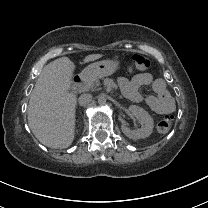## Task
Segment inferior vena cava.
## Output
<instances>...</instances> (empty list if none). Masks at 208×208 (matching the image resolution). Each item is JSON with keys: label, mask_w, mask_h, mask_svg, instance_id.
Segmentation results:
<instances>
[{"label": "inferior vena cava", "mask_w": 208, "mask_h": 208, "mask_svg": "<svg viewBox=\"0 0 208 208\" xmlns=\"http://www.w3.org/2000/svg\"><path fill=\"white\" fill-rule=\"evenodd\" d=\"M93 104L92 96L90 94H82L79 97V105L82 107Z\"/></svg>", "instance_id": "602c4592"}]
</instances>
